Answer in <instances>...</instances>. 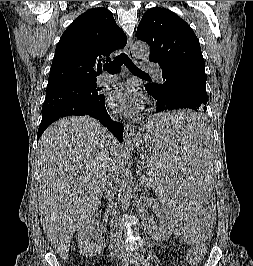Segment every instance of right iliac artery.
I'll list each match as a JSON object with an SVG mask.
<instances>
[{"instance_id":"right-iliac-artery-1","label":"right iliac artery","mask_w":253,"mask_h":266,"mask_svg":"<svg viewBox=\"0 0 253 266\" xmlns=\"http://www.w3.org/2000/svg\"><path fill=\"white\" fill-rule=\"evenodd\" d=\"M129 263V257L128 254L125 255V257L122 259L121 266H128Z\"/></svg>"}]
</instances>
